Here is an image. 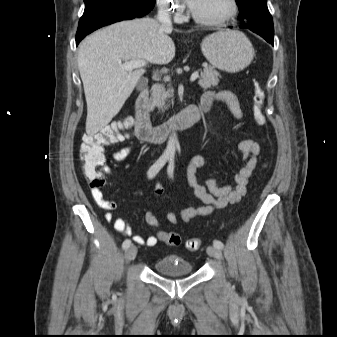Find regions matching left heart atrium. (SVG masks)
Here are the masks:
<instances>
[{
  "instance_id": "1",
  "label": "left heart atrium",
  "mask_w": 337,
  "mask_h": 337,
  "mask_svg": "<svg viewBox=\"0 0 337 337\" xmlns=\"http://www.w3.org/2000/svg\"><path fill=\"white\" fill-rule=\"evenodd\" d=\"M198 0H186V2L191 6L193 7L196 3H197Z\"/></svg>"
}]
</instances>
